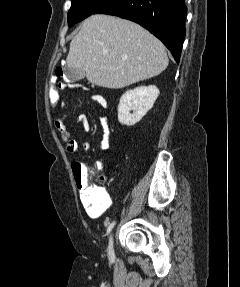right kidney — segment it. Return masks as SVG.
<instances>
[{
    "mask_svg": "<svg viewBox=\"0 0 240 287\" xmlns=\"http://www.w3.org/2000/svg\"><path fill=\"white\" fill-rule=\"evenodd\" d=\"M159 93V89L155 85L141 86L126 91L121 96L118 106L119 122L126 126L138 123L153 107Z\"/></svg>",
    "mask_w": 240,
    "mask_h": 287,
    "instance_id": "1",
    "label": "right kidney"
}]
</instances>
